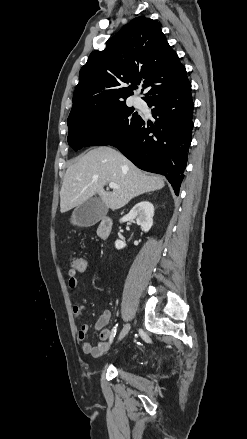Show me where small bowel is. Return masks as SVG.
Masks as SVG:
<instances>
[{"instance_id": "obj_1", "label": "small bowel", "mask_w": 247, "mask_h": 439, "mask_svg": "<svg viewBox=\"0 0 247 439\" xmlns=\"http://www.w3.org/2000/svg\"><path fill=\"white\" fill-rule=\"evenodd\" d=\"M78 272H75L70 269L69 271V279L68 286L72 291H76L78 288ZM85 311V307L83 305H73L72 312L73 315L77 318H80ZM111 318V311L106 309L102 312V314L98 317L95 322L94 329L100 331L99 337L100 342L93 346L91 343L86 341V337L88 335L89 326L87 324H82L78 330L77 337L81 341V348L85 354L91 355L93 357H101L106 351H108L111 344V333L109 329H106L105 326L109 323Z\"/></svg>"}]
</instances>
